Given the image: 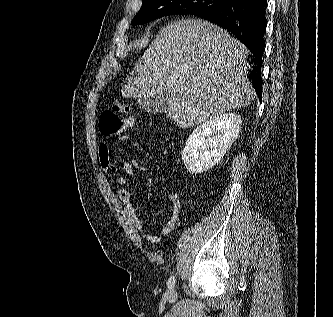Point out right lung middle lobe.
Returning a JSON list of instances; mask_svg holds the SVG:
<instances>
[{
  "label": "right lung middle lobe",
  "mask_w": 333,
  "mask_h": 317,
  "mask_svg": "<svg viewBox=\"0 0 333 317\" xmlns=\"http://www.w3.org/2000/svg\"><path fill=\"white\" fill-rule=\"evenodd\" d=\"M224 0H143L132 24L139 25L172 14L197 15L222 6Z\"/></svg>",
  "instance_id": "1"
}]
</instances>
